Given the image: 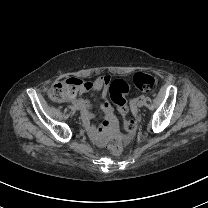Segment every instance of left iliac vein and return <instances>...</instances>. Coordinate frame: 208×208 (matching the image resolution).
I'll list each match as a JSON object with an SVG mask.
<instances>
[{"label": "left iliac vein", "mask_w": 208, "mask_h": 208, "mask_svg": "<svg viewBox=\"0 0 208 208\" xmlns=\"http://www.w3.org/2000/svg\"><path fill=\"white\" fill-rule=\"evenodd\" d=\"M143 105H144V101H143V100H139V101L137 102V106H138V107H143Z\"/></svg>", "instance_id": "1"}]
</instances>
